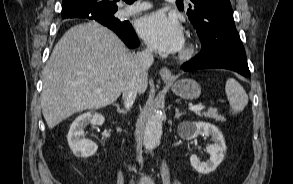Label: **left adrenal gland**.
Returning <instances> with one entry per match:
<instances>
[{
    "label": "left adrenal gland",
    "instance_id": "1",
    "mask_svg": "<svg viewBox=\"0 0 293 184\" xmlns=\"http://www.w3.org/2000/svg\"><path fill=\"white\" fill-rule=\"evenodd\" d=\"M184 114H185V113H183V112L180 113L178 108L175 109V118H176V119H178L180 116H182V115H184Z\"/></svg>",
    "mask_w": 293,
    "mask_h": 184
}]
</instances>
